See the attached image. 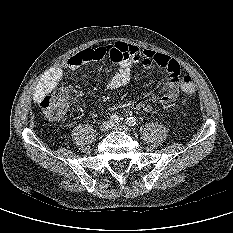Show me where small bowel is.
Returning a JSON list of instances; mask_svg holds the SVG:
<instances>
[{
  "mask_svg": "<svg viewBox=\"0 0 233 233\" xmlns=\"http://www.w3.org/2000/svg\"><path fill=\"white\" fill-rule=\"evenodd\" d=\"M105 58H109L118 64V70L108 83L110 90H118L126 86L130 81L131 65L141 61L143 66L148 69L154 65L162 67L167 76V80L161 87L159 94L153 95L150 99L151 102L169 104L177 98L181 73L178 62L165 54L149 49L140 50L134 45L123 42L89 47L67 58L61 64L53 67L47 77L37 86L34 98L40 101L45 94L52 92L61 82L65 71L77 69L85 64L99 62ZM134 108L150 111L152 106L147 102H137L134 104Z\"/></svg>",
  "mask_w": 233,
  "mask_h": 233,
  "instance_id": "small-bowel-1",
  "label": "small bowel"
}]
</instances>
